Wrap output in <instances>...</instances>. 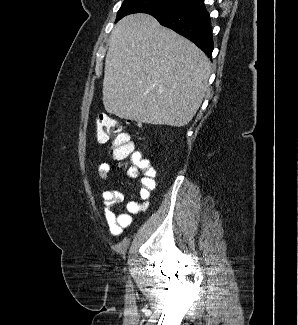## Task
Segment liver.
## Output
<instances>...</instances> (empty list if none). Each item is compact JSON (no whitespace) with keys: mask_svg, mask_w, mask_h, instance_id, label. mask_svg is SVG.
<instances>
[{"mask_svg":"<svg viewBox=\"0 0 298 325\" xmlns=\"http://www.w3.org/2000/svg\"><path fill=\"white\" fill-rule=\"evenodd\" d=\"M210 60L151 14H128L115 24L105 58L103 104L119 118L184 126L207 90Z\"/></svg>","mask_w":298,"mask_h":325,"instance_id":"6515ba94","label":"liver"}]
</instances>
